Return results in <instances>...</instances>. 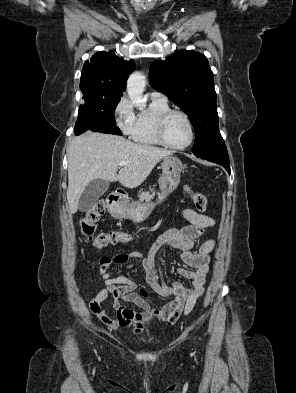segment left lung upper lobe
Segmentation results:
<instances>
[{
	"label": "left lung upper lobe",
	"instance_id": "left-lung-upper-lobe-1",
	"mask_svg": "<svg viewBox=\"0 0 296 393\" xmlns=\"http://www.w3.org/2000/svg\"><path fill=\"white\" fill-rule=\"evenodd\" d=\"M150 84L190 116L196 140L194 155L227 152L218 126L214 77L207 58L181 50L150 66Z\"/></svg>",
	"mask_w": 296,
	"mask_h": 393
}]
</instances>
